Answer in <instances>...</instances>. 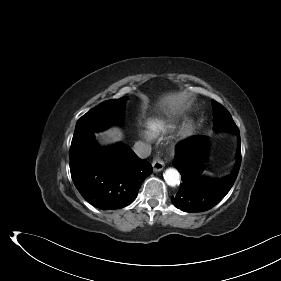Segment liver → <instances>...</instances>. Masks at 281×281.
I'll list each match as a JSON object with an SVG mask.
<instances>
[{"instance_id":"1","label":"liver","mask_w":281,"mask_h":281,"mask_svg":"<svg viewBox=\"0 0 281 281\" xmlns=\"http://www.w3.org/2000/svg\"><path fill=\"white\" fill-rule=\"evenodd\" d=\"M188 96L185 92L171 93L163 96L159 101V107L167 114H175L184 108ZM101 144L115 143L122 139V132L119 128L113 127L104 132L96 134Z\"/></svg>"}]
</instances>
